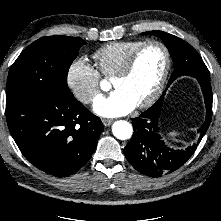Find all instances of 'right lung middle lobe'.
<instances>
[{
  "label": "right lung middle lobe",
  "instance_id": "dd1d6c3e",
  "mask_svg": "<svg viewBox=\"0 0 221 221\" xmlns=\"http://www.w3.org/2000/svg\"><path fill=\"white\" fill-rule=\"evenodd\" d=\"M86 42L80 38L55 35L36 40L21 52L10 68L6 98L34 95L45 98L53 92L70 93L67 74Z\"/></svg>",
  "mask_w": 221,
  "mask_h": 221
}]
</instances>
